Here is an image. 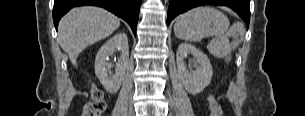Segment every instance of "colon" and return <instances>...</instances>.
I'll use <instances>...</instances> for the list:
<instances>
[{
	"label": "colon",
	"instance_id": "1",
	"mask_svg": "<svg viewBox=\"0 0 305 116\" xmlns=\"http://www.w3.org/2000/svg\"><path fill=\"white\" fill-rule=\"evenodd\" d=\"M210 116H222V109L215 99L211 96L208 100ZM107 109V103L104 93L96 86L91 88V100L87 102L83 108L82 116H101Z\"/></svg>",
	"mask_w": 305,
	"mask_h": 116
}]
</instances>
